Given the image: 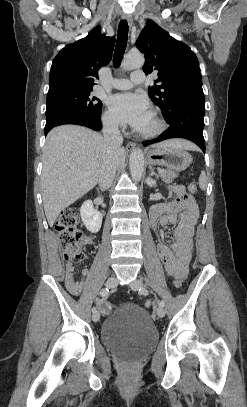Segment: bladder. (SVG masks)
<instances>
[{"instance_id": "bladder-1", "label": "bladder", "mask_w": 247, "mask_h": 407, "mask_svg": "<svg viewBox=\"0 0 247 407\" xmlns=\"http://www.w3.org/2000/svg\"><path fill=\"white\" fill-rule=\"evenodd\" d=\"M101 340L118 357L139 361L158 342V331L148 313L127 302L114 307L101 326Z\"/></svg>"}]
</instances>
